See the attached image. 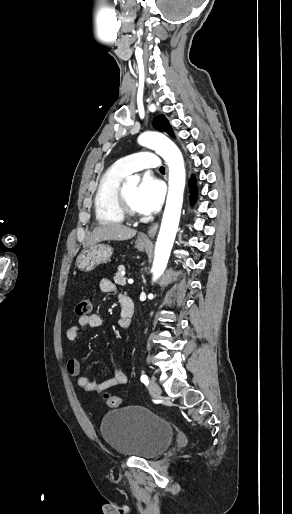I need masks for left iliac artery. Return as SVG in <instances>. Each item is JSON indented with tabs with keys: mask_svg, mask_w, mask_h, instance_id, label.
Segmentation results:
<instances>
[{
	"mask_svg": "<svg viewBox=\"0 0 292 514\" xmlns=\"http://www.w3.org/2000/svg\"><path fill=\"white\" fill-rule=\"evenodd\" d=\"M140 380H141V382H143V383L147 384V383H148V377H147V375H145V374H144V375H142V376H141V378H140Z\"/></svg>",
	"mask_w": 292,
	"mask_h": 514,
	"instance_id": "obj_1",
	"label": "left iliac artery"
}]
</instances>
